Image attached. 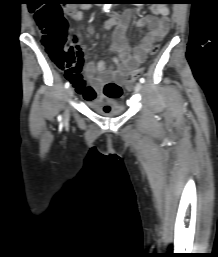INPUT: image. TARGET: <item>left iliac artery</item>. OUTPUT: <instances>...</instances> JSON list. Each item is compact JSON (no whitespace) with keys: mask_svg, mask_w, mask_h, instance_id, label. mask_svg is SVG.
I'll return each mask as SVG.
<instances>
[{"mask_svg":"<svg viewBox=\"0 0 218 257\" xmlns=\"http://www.w3.org/2000/svg\"><path fill=\"white\" fill-rule=\"evenodd\" d=\"M140 82L141 83H144L145 82V79L142 77V78H140Z\"/></svg>","mask_w":218,"mask_h":257,"instance_id":"obj_1","label":"left iliac artery"}]
</instances>
